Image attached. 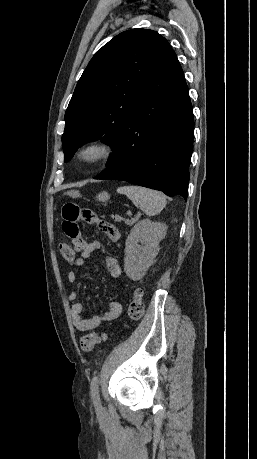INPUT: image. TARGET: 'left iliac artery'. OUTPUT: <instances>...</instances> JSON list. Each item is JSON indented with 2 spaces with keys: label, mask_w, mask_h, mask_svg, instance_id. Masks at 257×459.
Returning <instances> with one entry per match:
<instances>
[{
  "label": "left iliac artery",
  "mask_w": 257,
  "mask_h": 459,
  "mask_svg": "<svg viewBox=\"0 0 257 459\" xmlns=\"http://www.w3.org/2000/svg\"><path fill=\"white\" fill-rule=\"evenodd\" d=\"M91 394L96 404H99V376L94 375L91 381Z\"/></svg>",
  "instance_id": "obj_1"
}]
</instances>
